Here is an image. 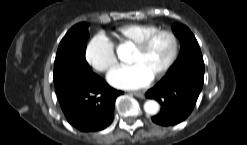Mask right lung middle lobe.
<instances>
[{"mask_svg": "<svg viewBox=\"0 0 247 145\" xmlns=\"http://www.w3.org/2000/svg\"><path fill=\"white\" fill-rule=\"evenodd\" d=\"M88 36L87 23H79L67 32L57 50L54 78L75 69L92 71L85 59Z\"/></svg>", "mask_w": 247, "mask_h": 145, "instance_id": "obj_1", "label": "right lung middle lobe"}]
</instances>
